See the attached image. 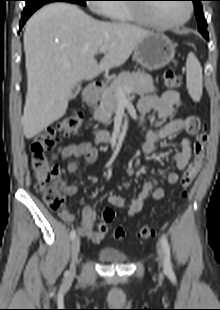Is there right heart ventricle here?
Instances as JSON below:
<instances>
[{
    "label": "right heart ventricle",
    "instance_id": "right-heart-ventricle-1",
    "mask_svg": "<svg viewBox=\"0 0 220 310\" xmlns=\"http://www.w3.org/2000/svg\"><path fill=\"white\" fill-rule=\"evenodd\" d=\"M102 13L107 18L118 22L148 23L146 20L138 18L132 8L128 5L106 4V7L103 9Z\"/></svg>",
    "mask_w": 220,
    "mask_h": 310
}]
</instances>
